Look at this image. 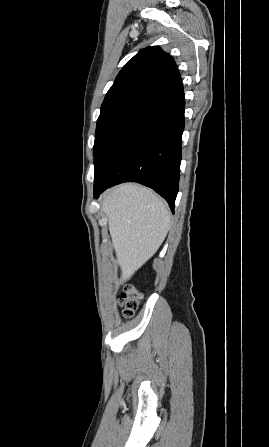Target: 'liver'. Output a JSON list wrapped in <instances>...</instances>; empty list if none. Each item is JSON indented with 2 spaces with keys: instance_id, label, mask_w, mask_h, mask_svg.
<instances>
[{
  "instance_id": "1",
  "label": "liver",
  "mask_w": 269,
  "mask_h": 447,
  "mask_svg": "<svg viewBox=\"0 0 269 447\" xmlns=\"http://www.w3.org/2000/svg\"><path fill=\"white\" fill-rule=\"evenodd\" d=\"M106 214L117 261L120 283L129 279L163 243L171 225L163 200L138 184H122L104 196Z\"/></svg>"
}]
</instances>
